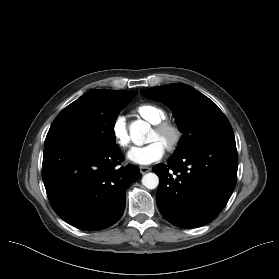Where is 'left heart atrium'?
I'll return each instance as SVG.
<instances>
[{"label":"left heart atrium","mask_w":279,"mask_h":279,"mask_svg":"<svg viewBox=\"0 0 279 279\" xmlns=\"http://www.w3.org/2000/svg\"><path fill=\"white\" fill-rule=\"evenodd\" d=\"M165 154V146L154 140L142 147H134L128 153V158L138 164L148 165L160 160Z\"/></svg>","instance_id":"39dd6f15"}]
</instances>
